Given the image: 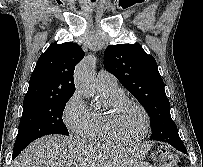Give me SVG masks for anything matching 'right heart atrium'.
Here are the masks:
<instances>
[{
  "mask_svg": "<svg viewBox=\"0 0 203 167\" xmlns=\"http://www.w3.org/2000/svg\"><path fill=\"white\" fill-rule=\"evenodd\" d=\"M89 109L83 101L79 92H74L66 101L62 120L67 129L77 135H80L88 118Z\"/></svg>",
  "mask_w": 203,
  "mask_h": 167,
  "instance_id": "d8ad5b80",
  "label": "right heart atrium"
}]
</instances>
